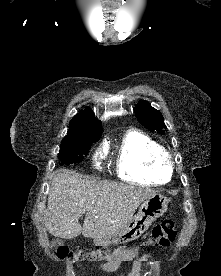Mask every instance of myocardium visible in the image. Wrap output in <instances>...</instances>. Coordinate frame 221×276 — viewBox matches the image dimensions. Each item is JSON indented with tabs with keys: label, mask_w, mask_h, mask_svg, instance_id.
<instances>
[{
	"label": "myocardium",
	"mask_w": 221,
	"mask_h": 276,
	"mask_svg": "<svg viewBox=\"0 0 221 276\" xmlns=\"http://www.w3.org/2000/svg\"><path fill=\"white\" fill-rule=\"evenodd\" d=\"M158 161L162 166H165L168 169H172V166L174 164L172 155L169 152L165 151V150H162L159 153Z\"/></svg>",
	"instance_id": "obj_1"
}]
</instances>
